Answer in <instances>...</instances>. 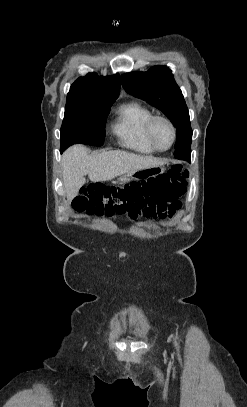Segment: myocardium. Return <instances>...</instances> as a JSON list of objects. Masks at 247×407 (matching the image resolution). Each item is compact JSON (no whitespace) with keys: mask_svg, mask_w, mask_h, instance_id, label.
<instances>
[{"mask_svg":"<svg viewBox=\"0 0 247 407\" xmlns=\"http://www.w3.org/2000/svg\"><path fill=\"white\" fill-rule=\"evenodd\" d=\"M158 121H163V122H165V123L170 127V129H171V132H172V141H171L170 145H169L167 148H161V147L157 144V142L155 141V138H154V135H153V130H154V125H155L156 122H158ZM146 135H147V138H148L149 142L151 143V145L154 147L155 150H157V151H167V150H169V149L173 146V144L175 143V141H176V136H177V132H176V127H175V125L173 124V122H172L169 118H167V117H165V116H162V115H153V116L149 119V121H148V123H147V126H146Z\"/></svg>","mask_w":247,"mask_h":407,"instance_id":"f54148a6","label":"myocardium"}]
</instances>
